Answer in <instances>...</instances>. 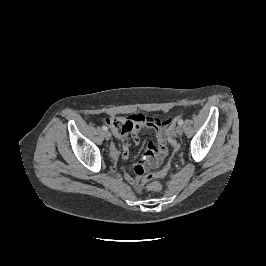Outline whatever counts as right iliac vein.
<instances>
[{"instance_id": "63e3f726", "label": "right iliac vein", "mask_w": 266, "mask_h": 266, "mask_svg": "<svg viewBox=\"0 0 266 266\" xmlns=\"http://www.w3.org/2000/svg\"><path fill=\"white\" fill-rule=\"evenodd\" d=\"M104 137H105V139H107V140L111 139V133H110L109 131H105V132H104Z\"/></svg>"}]
</instances>
